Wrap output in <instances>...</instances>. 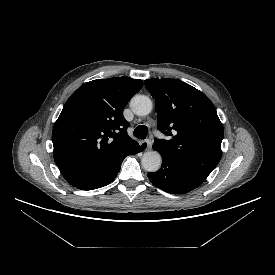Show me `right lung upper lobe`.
<instances>
[{
	"label": "right lung upper lobe",
	"instance_id": "right-lung-upper-lobe-1",
	"mask_svg": "<svg viewBox=\"0 0 275 275\" xmlns=\"http://www.w3.org/2000/svg\"><path fill=\"white\" fill-rule=\"evenodd\" d=\"M130 77L97 79L67 100L52 132L53 156L74 187L110 172L139 144L127 134L123 109L142 88Z\"/></svg>",
	"mask_w": 275,
	"mask_h": 275
}]
</instances>
